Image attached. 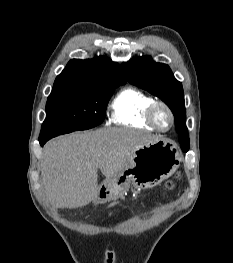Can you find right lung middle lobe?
I'll use <instances>...</instances> for the list:
<instances>
[{"mask_svg": "<svg viewBox=\"0 0 233 263\" xmlns=\"http://www.w3.org/2000/svg\"><path fill=\"white\" fill-rule=\"evenodd\" d=\"M115 88L92 93L49 96L46 119L42 124L39 140H49L61 134L86 130L101 124Z\"/></svg>", "mask_w": 233, "mask_h": 263, "instance_id": "dd1d6c3e", "label": "right lung middle lobe"}]
</instances>
